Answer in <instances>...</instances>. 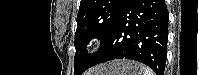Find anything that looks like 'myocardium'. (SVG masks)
Returning a JSON list of instances; mask_svg holds the SVG:
<instances>
[{
	"instance_id": "obj_1",
	"label": "myocardium",
	"mask_w": 199,
	"mask_h": 75,
	"mask_svg": "<svg viewBox=\"0 0 199 75\" xmlns=\"http://www.w3.org/2000/svg\"><path fill=\"white\" fill-rule=\"evenodd\" d=\"M101 47V41L99 39H93L89 43H87L85 47V51L88 54H93L97 52Z\"/></svg>"
}]
</instances>
